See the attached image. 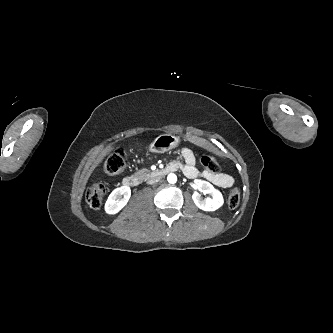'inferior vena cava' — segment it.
<instances>
[{"label":"inferior vena cava","mask_w":333,"mask_h":333,"mask_svg":"<svg viewBox=\"0 0 333 333\" xmlns=\"http://www.w3.org/2000/svg\"><path fill=\"white\" fill-rule=\"evenodd\" d=\"M160 179H161V177H155V178L148 180L147 183L154 184V183H157Z\"/></svg>","instance_id":"obj_1"}]
</instances>
